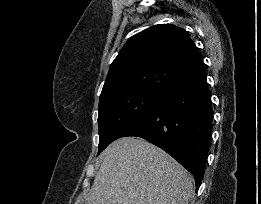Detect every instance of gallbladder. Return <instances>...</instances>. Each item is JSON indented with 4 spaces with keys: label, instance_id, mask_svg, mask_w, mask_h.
<instances>
[{
    "label": "gallbladder",
    "instance_id": "obj_1",
    "mask_svg": "<svg viewBox=\"0 0 261 204\" xmlns=\"http://www.w3.org/2000/svg\"><path fill=\"white\" fill-rule=\"evenodd\" d=\"M79 204H87L86 202H84V201H81Z\"/></svg>",
    "mask_w": 261,
    "mask_h": 204
}]
</instances>
